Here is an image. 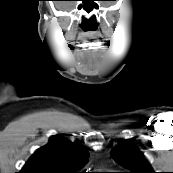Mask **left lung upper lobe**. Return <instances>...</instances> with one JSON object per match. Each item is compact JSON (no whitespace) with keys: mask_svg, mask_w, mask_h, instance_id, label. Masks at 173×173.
<instances>
[{"mask_svg":"<svg viewBox=\"0 0 173 173\" xmlns=\"http://www.w3.org/2000/svg\"><path fill=\"white\" fill-rule=\"evenodd\" d=\"M111 155L119 164L130 170L128 173H155L143 153L130 140L116 146Z\"/></svg>","mask_w":173,"mask_h":173,"instance_id":"left-lung-upper-lobe-1","label":"left lung upper lobe"}]
</instances>
